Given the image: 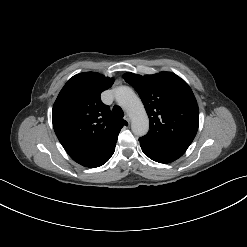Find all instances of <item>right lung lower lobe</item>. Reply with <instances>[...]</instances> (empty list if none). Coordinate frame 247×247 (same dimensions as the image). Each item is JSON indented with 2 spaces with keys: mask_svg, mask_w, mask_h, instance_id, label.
<instances>
[{
  "mask_svg": "<svg viewBox=\"0 0 247 247\" xmlns=\"http://www.w3.org/2000/svg\"><path fill=\"white\" fill-rule=\"evenodd\" d=\"M116 142L117 140L112 143L101 155L100 157L91 165L87 166L89 168H96L98 166H102L103 164H105L113 155L114 151H115V146H116Z\"/></svg>",
  "mask_w": 247,
  "mask_h": 247,
  "instance_id": "right-lung-lower-lobe-1",
  "label": "right lung lower lobe"
}]
</instances>
